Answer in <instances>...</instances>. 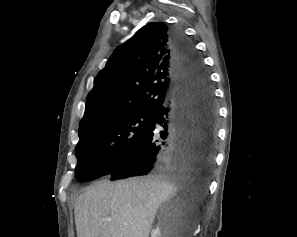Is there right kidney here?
I'll return each instance as SVG.
<instances>
[{
	"label": "right kidney",
	"mask_w": 297,
	"mask_h": 237,
	"mask_svg": "<svg viewBox=\"0 0 297 237\" xmlns=\"http://www.w3.org/2000/svg\"><path fill=\"white\" fill-rule=\"evenodd\" d=\"M151 237H162L159 227L152 230Z\"/></svg>",
	"instance_id": "1"
}]
</instances>
